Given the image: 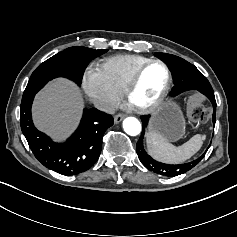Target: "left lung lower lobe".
Here are the masks:
<instances>
[{"label":"left lung lower lobe","instance_id":"left-lung-lower-lobe-1","mask_svg":"<svg viewBox=\"0 0 237 237\" xmlns=\"http://www.w3.org/2000/svg\"><path fill=\"white\" fill-rule=\"evenodd\" d=\"M208 99L211 101L212 105H213V116H212V120H213V124L215 125V121H216V116H215V112H216V101L214 98V92H209L207 95Z\"/></svg>","mask_w":237,"mask_h":237}]
</instances>
